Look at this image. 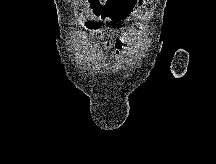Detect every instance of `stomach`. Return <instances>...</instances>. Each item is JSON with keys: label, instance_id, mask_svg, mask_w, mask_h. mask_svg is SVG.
I'll return each mask as SVG.
<instances>
[{"label": "stomach", "instance_id": "1", "mask_svg": "<svg viewBox=\"0 0 216 164\" xmlns=\"http://www.w3.org/2000/svg\"><path fill=\"white\" fill-rule=\"evenodd\" d=\"M146 4V0H107V7L91 9V14H101L104 20H128L134 10Z\"/></svg>", "mask_w": 216, "mask_h": 164}]
</instances>
